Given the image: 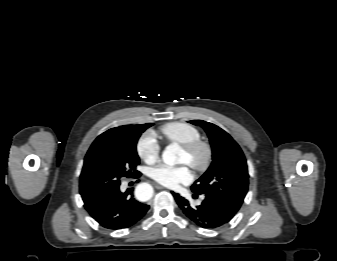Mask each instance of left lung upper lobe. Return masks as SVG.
<instances>
[{
    "label": "left lung upper lobe",
    "instance_id": "1",
    "mask_svg": "<svg viewBox=\"0 0 337 261\" xmlns=\"http://www.w3.org/2000/svg\"><path fill=\"white\" fill-rule=\"evenodd\" d=\"M189 122L201 126L208 134L213 159L209 169L191 186V190L217 200L237 213L249 183L246 159L241 148L218 126L202 120Z\"/></svg>",
    "mask_w": 337,
    "mask_h": 261
}]
</instances>
